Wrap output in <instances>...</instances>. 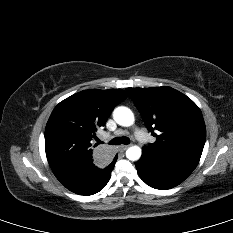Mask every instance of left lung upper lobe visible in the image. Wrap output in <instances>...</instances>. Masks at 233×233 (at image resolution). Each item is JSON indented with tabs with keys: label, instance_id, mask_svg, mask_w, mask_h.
<instances>
[{
	"label": "left lung upper lobe",
	"instance_id": "5c2ea615",
	"mask_svg": "<svg viewBox=\"0 0 233 233\" xmlns=\"http://www.w3.org/2000/svg\"><path fill=\"white\" fill-rule=\"evenodd\" d=\"M126 90L156 137L154 143L144 148L156 153L201 157L206 128L200 109L189 97L166 86Z\"/></svg>",
	"mask_w": 233,
	"mask_h": 233
}]
</instances>
